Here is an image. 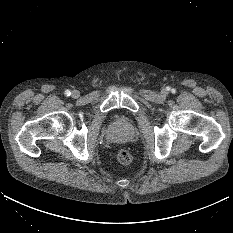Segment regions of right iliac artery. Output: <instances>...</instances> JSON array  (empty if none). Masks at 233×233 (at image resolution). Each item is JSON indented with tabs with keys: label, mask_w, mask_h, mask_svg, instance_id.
I'll return each instance as SVG.
<instances>
[{
	"label": "right iliac artery",
	"mask_w": 233,
	"mask_h": 233,
	"mask_svg": "<svg viewBox=\"0 0 233 233\" xmlns=\"http://www.w3.org/2000/svg\"><path fill=\"white\" fill-rule=\"evenodd\" d=\"M65 95H66V96H70V95H71L70 90H66V91H65Z\"/></svg>",
	"instance_id": "1"
}]
</instances>
